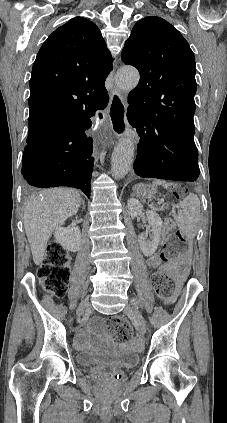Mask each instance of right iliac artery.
Wrapping results in <instances>:
<instances>
[{"mask_svg":"<svg viewBox=\"0 0 227 423\" xmlns=\"http://www.w3.org/2000/svg\"><path fill=\"white\" fill-rule=\"evenodd\" d=\"M89 320H90L89 313H84L83 317L81 318V323L82 324H87Z\"/></svg>","mask_w":227,"mask_h":423,"instance_id":"obj_1","label":"right iliac artery"}]
</instances>
